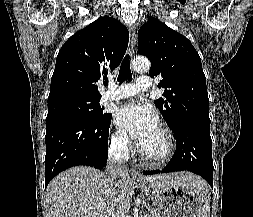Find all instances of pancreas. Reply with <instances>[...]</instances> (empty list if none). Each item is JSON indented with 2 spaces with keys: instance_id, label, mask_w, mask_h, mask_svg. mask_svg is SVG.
I'll list each match as a JSON object with an SVG mask.
<instances>
[{
  "instance_id": "1",
  "label": "pancreas",
  "mask_w": 253,
  "mask_h": 217,
  "mask_svg": "<svg viewBox=\"0 0 253 217\" xmlns=\"http://www.w3.org/2000/svg\"><path fill=\"white\" fill-rule=\"evenodd\" d=\"M150 213L152 215L151 217H162V215L160 214V212L158 210L151 209Z\"/></svg>"
}]
</instances>
